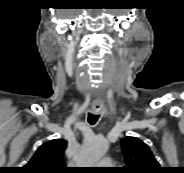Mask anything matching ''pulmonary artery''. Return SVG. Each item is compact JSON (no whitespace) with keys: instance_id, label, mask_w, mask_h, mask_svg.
I'll return each mask as SVG.
<instances>
[{"instance_id":"1","label":"pulmonary artery","mask_w":184,"mask_h":173,"mask_svg":"<svg viewBox=\"0 0 184 173\" xmlns=\"http://www.w3.org/2000/svg\"><path fill=\"white\" fill-rule=\"evenodd\" d=\"M99 164L104 167L111 166L113 164L112 160L110 158H103Z\"/></svg>"}]
</instances>
